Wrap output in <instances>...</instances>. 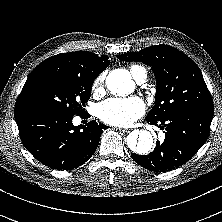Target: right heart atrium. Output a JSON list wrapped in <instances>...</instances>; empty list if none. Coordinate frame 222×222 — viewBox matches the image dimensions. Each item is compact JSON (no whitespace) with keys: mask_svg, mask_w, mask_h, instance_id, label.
<instances>
[{"mask_svg":"<svg viewBox=\"0 0 222 222\" xmlns=\"http://www.w3.org/2000/svg\"><path fill=\"white\" fill-rule=\"evenodd\" d=\"M103 77L100 76L98 77L95 81H94V84H93V90L95 92H99L102 88V84H103Z\"/></svg>","mask_w":222,"mask_h":222,"instance_id":"right-heart-atrium-1","label":"right heart atrium"}]
</instances>
